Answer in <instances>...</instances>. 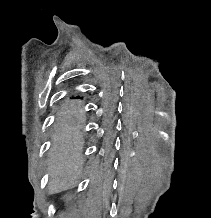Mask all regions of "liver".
<instances>
[{
  "instance_id": "6515ba94",
  "label": "liver",
  "mask_w": 211,
  "mask_h": 218,
  "mask_svg": "<svg viewBox=\"0 0 211 218\" xmlns=\"http://www.w3.org/2000/svg\"><path fill=\"white\" fill-rule=\"evenodd\" d=\"M81 152L82 142L78 128L65 122L61 132L54 136L52 164L49 166L52 174L49 186L51 194L75 188L83 162Z\"/></svg>"
}]
</instances>
